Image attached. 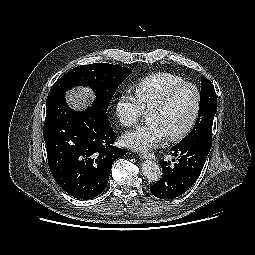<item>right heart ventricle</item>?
Instances as JSON below:
<instances>
[{
    "label": "right heart ventricle",
    "instance_id": "e07e8e85",
    "mask_svg": "<svg viewBox=\"0 0 255 255\" xmlns=\"http://www.w3.org/2000/svg\"><path fill=\"white\" fill-rule=\"evenodd\" d=\"M183 79L167 72L150 74L139 80L134 86L135 98L143 112H148L161 96Z\"/></svg>",
    "mask_w": 255,
    "mask_h": 255
}]
</instances>
